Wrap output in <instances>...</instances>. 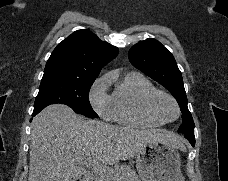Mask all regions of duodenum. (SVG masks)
Segmentation results:
<instances>
[{"label":"duodenum","mask_w":228,"mask_h":181,"mask_svg":"<svg viewBox=\"0 0 228 181\" xmlns=\"http://www.w3.org/2000/svg\"><path fill=\"white\" fill-rule=\"evenodd\" d=\"M82 179H87V181H94V179L91 178V174H82Z\"/></svg>","instance_id":"1"}]
</instances>
